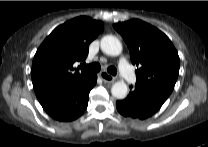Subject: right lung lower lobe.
<instances>
[{"mask_svg":"<svg viewBox=\"0 0 208 147\" xmlns=\"http://www.w3.org/2000/svg\"><path fill=\"white\" fill-rule=\"evenodd\" d=\"M97 75L92 74L70 93L41 103L43 109L54 119L72 121L80 117L88 105L89 92L95 86Z\"/></svg>","mask_w":208,"mask_h":147,"instance_id":"obj_1","label":"right lung lower lobe"}]
</instances>
